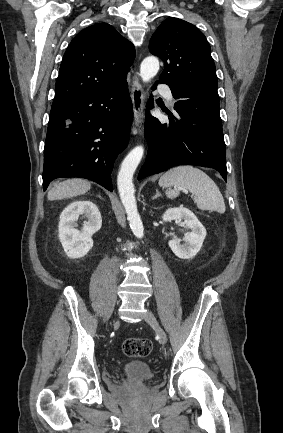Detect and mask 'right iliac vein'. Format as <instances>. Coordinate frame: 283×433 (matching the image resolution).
<instances>
[{
    "label": "right iliac vein",
    "instance_id": "obj_1",
    "mask_svg": "<svg viewBox=\"0 0 283 433\" xmlns=\"http://www.w3.org/2000/svg\"><path fill=\"white\" fill-rule=\"evenodd\" d=\"M115 324H117L118 323V320H115V322H114Z\"/></svg>",
    "mask_w": 283,
    "mask_h": 433
}]
</instances>
